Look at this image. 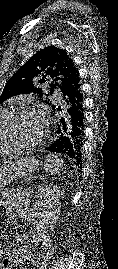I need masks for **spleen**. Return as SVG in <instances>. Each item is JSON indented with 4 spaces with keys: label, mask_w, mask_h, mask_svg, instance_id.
I'll return each mask as SVG.
<instances>
[{
    "label": "spleen",
    "mask_w": 118,
    "mask_h": 269,
    "mask_svg": "<svg viewBox=\"0 0 118 269\" xmlns=\"http://www.w3.org/2000/svg\"><path fill=\"white\" fill-rule=\"evenodd\" d=\"M45 170L49 176L56 175L63 167V160L54 154H48L45 159Z\"/></svg>",
    "instance_id": "obj_1"
}]
</instances>
